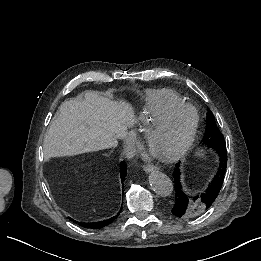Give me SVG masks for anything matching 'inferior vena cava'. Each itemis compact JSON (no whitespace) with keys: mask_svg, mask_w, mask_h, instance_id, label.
I'll return each mask as SVG.
<instances>
[{"mask_svg":"<svg viewBox=\"0 0 261 261\" xmlns=\"http://www.w3.org/2000/svg\"><path fill=\"white\" fill-rule=\"evenodd\" d=\"M127 141H133V138L130 136L127 138Z\"/></svg>","mask_w":261,"mask_h":261,"instance_id":"1","label":"inferior vena cava"}]
</instances>
